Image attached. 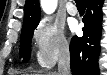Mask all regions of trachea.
<instances>
[{
	"instance_id": "3493384b",
	"label": "trachea",
	"mask_w": 107,
	"mask_h": 75,
	"mask_svg": "<svg viewBox=\"0 0 107 75\" xmlns=\"http://www.w3.org/2000/svg\"><path fill=\"white\" fill-rule=\"evenodd\" d=\"M75 2H76L77 4H79V5H83V4H84L83 0H75Z\"/></svg>"
}]
</instances>
